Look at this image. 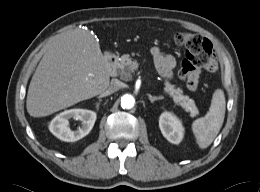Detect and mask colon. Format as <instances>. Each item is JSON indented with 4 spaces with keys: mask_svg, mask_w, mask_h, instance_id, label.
I'll list each match as a JSON object with an SVG mask.
<instances>
[{
    "mask_svg": "<svg viewBox=\"0 0 260 192\" xmlns=\"http://www.w3.org/2000/svg\"><path fill=\"white\" fill-rule=\"evenodd\" d=\"M174 42L185 48V57L181 62L179 75L189 89L197 88L202 69L216 66L212 44L206 38L187 32L177 33Z\"/></svg>",
    "mask_w": 260,
    "mask_h": 192,
    "instance_id": "1",
    "label": "colon"
}]
</instances>
